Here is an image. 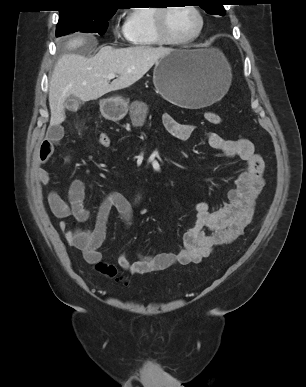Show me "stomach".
<instances>
[{
    "mask_svg": "<svg viewBox=\"0 0 306 387\" xmlns=\"http://www.w3.org/2000/svg\"><path fill=\"white\" fill-rule=\"evenodd\" d=\"M232 74L218 49H177L160 58L153 70L157 92L183 108L198 109L220 100L228 91ZM100 111L111 121L122 119L127 102L121 97L100 100Z\"/></svg>",
    "mask_w": 306,
    "mask_h": 387,
    "instance_id": "1",
    "label": "stomach"
}]
</instances>
